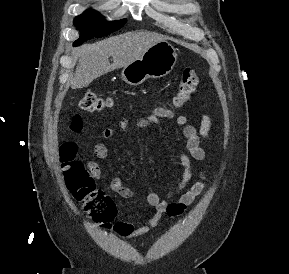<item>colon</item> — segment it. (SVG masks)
<instances>
[{
  "mask_svg": "<svg viewBox=\"0 0 289 274\" xmlns=\"http://www.w3.org/2000/svg\"><path fill=\"white\" fill-rule=\"evenodd\" d=\"M198 81V74L195 69L191 67L183 69L172 105L178 108L188 102L195 92ZM110 105V99L94 92L85 94L80 100V107L87 112L101 111ZM81 128V119L75 117L72 121L71 129L79 132ZM76 152L77 147L71 141L64 142L60 147V160L67 187L94 221L108 225L115 215L114 203L103 190L97 187L95 179L89 170L75 159Z\"/></svg>",
  "mask_w": 289,
  "mask_h": 274,
  "instance_id": "obj_1",
  "label": "colon"
}]
</instances>
